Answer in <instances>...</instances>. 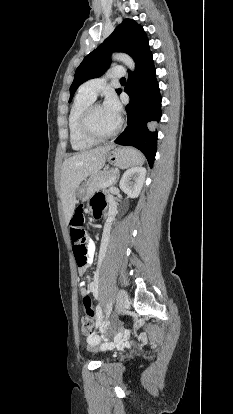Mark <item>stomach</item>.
Masks as SVG:
<instances>
[{
    "mask_svg": "<svg viewBox=\"0 0 233 414\" xmlns=\"http://www.w3.org/2000/svg\"><path fill=\"white\" fill-rule=\"evenodd\" d=\"M138 157L132 148H112L106 153L105 160L115 167L128 168L134 164ZM77 196L83 201L89 198L90 192L87 185L82 184L78 187Z\"/></svg>",
    "mask_w": 233,
    "mask_h": 414,
    "instance_id": "stomach-1",
    "label": "stomach"
}]
</instances>
